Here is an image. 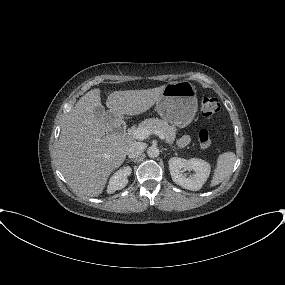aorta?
<instances>
[{"instance_id":"aorta-1","label":"aorta","mask_w":285,"mask_h":285,"mask_svg":"<svg viewBox=\"0 0 285 285\" xmlns=\"http://www.w3.org/2000/svg\"><path fill=\"white\" fill-rule=\"evenodd\" d=\"M147 154L150 158H156L159 156L160 154V151L158 149V147L156 146H150L148 149H147Z\"/></svg>"}]
</instances>
